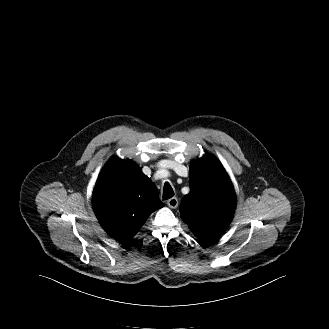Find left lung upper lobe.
Instances as JSON below:
<instances>
[{"mask_svg": "<svg viewBox=\"0 0 329 329\" xmlns=\"http://www.w3.org/2000/svg\"><path fill=\"white\" fill-rule=\"evenodd\" d=\"M190 193L180 206L181 218L202 243L214 242L232 220L236 196L215 156L206 153L190 166Z\"/></svg>", "mask_w": 329, "mask_h": 329, "instance_id": "1", "label": "left lung upper lobe"}]
</instances>
